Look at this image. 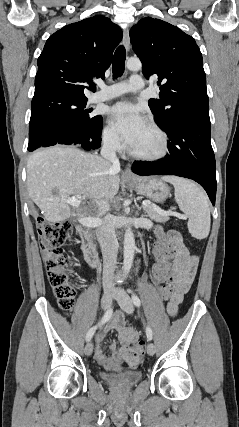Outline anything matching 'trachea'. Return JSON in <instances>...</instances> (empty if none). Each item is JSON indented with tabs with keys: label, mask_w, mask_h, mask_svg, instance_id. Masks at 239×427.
Masks as SVG:
<instances>
[{
	"label": "trachea",
	"mask_w": 239,
	"mask_h": 427,
	"mask_svg": "<svg viewBox=\"0 0 239 427\" xmlns=\"http://www.w3.org/2000/svg\"><path fill=\"white\" fill-rule=\"evenodd\" d=\"M125 59H126V51L123 45H120L113 57V64H112V70H113V78H117L123 75L124 69H125Z\"/></svg>",
	"instance_id": "trachea-1"
}]
</instances>
